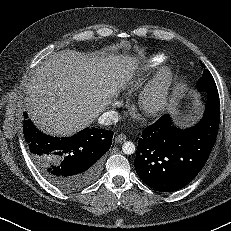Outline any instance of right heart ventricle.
<instances>
[{
  "label": "right heart ventricle",
  "instance_id": "obj_1",
  "mask_svg": "<svg viewBox=\"0 0 231 231\" xmlns=\"http://www.w3.org/2000/svg\"><path fill=\"white\" fill-rule=\"evenodd\" d=\"M165 60V56L163 54H157L152 57L151 61L153 64H159Z\"/></svg>",
  "mask_w": 231,
  "mask_h": 231
}]
</instances>
